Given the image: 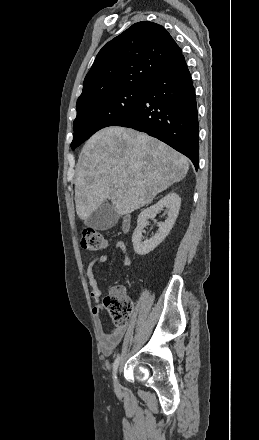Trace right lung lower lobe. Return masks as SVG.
Here are the masks:
<instances>
[{
	"mask_svg": "<svg viewBox=\"0 0 259 440\" xmlns=\"http://www.w3.org/2000/svg\"><path fill=\"white\" fill-rule=\"evenodd\" d=\"M113 126L145 132L199 165L195 90L184 56L147 88L138 105Z\"/></svg>",
	"mask_w": 259,
	"mask_h": 440,
	"instance_id": "98d812e1",
	"label": "right lung lower lobe"
}]
</instances>
